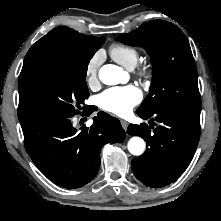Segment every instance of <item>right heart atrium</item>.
Instances as JSON below:
<instances>
[{
	"mask_svg": "<svg viewBox=\"0 0 221 221\" xmlns=\"http://www.w3.org/2000/svg\"><path fill=\"white\" fill-rule=\"evenodd\" d=\"M102 60V52L97 51L87 61L85 66V80L89 86H94L98 82V71Z\"/></svg>",
	"mask_w": 221,
	"mask_h": 221,
	"instance_id": "obj_1",
	"label": "right heart atrium"
}]
</instances>
